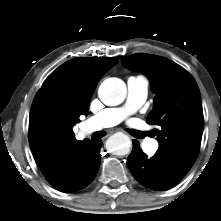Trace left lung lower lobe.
<instances>
[{
  "label": "left lung lower lobe",
  "mask_w": 221,
  "mask_h": 221,
  "mask_svg": "<svg viewBox=\"0 0 221 221\" xmlns=\"http://www.w3.org/2000/svg\"><path fill=\"white\" fill-rule=\"evenodd\" d=\"M127 166L140 184L153 190H167L181 180L162 163L156 154L153 157H147L136 140H133V150L127 159Z\"/></svg>",
  "instance_id": "1"
}]
</instances>
